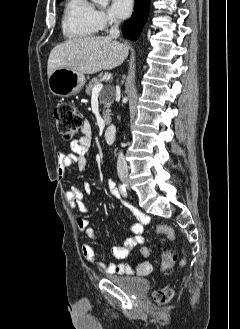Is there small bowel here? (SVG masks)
<instances>
[{
  "label": "small bowel",
  "mask_w": 240,
  "mask_h": 329,
  "mask_svg": "<svg viewBox=\"0 0 240 329\" xmlns=\"http://www.w3.org/2000/svg\"><path fill=\"white\" fill-rule=\"evenodd\" d=\"M91 143L92 127L89 121L85 120L82 125L80 137L70 143L71 153L67 154L62 151L57 153V173L60 180L66 179L68 168L72 165H76L80 172H85L87 170L88 154ZM106 183L111 196L116 199H120V194L116 189L114 182L107 180ZM91 190V183L85 182L82 189L77 186H73L65 193L69 206L73 209H77L81 213V215L76 218V226L78 230L88 239V241H85L82 246V254L84 258L108 274L137 276L148 275L152 271L153 266L148 260H146L150 251L147 246L143 245V230L144 225L148 223L149 218L126 202H123V204L130 208L133 215L136 217L137 222L133 223L130 227L132 236L127 238L121 245L113 247L111 249V253L116 259H124L135 247L140 246L139 253L141 262L136 267H132L126 263H105L95 259L93 244L96 242V234L94 229L89 226V221L86 217L88 210L84 204V195L85 193H89Z\"/></svg>",
  "instance_id": "c3829d8e"
}]
</instances>
